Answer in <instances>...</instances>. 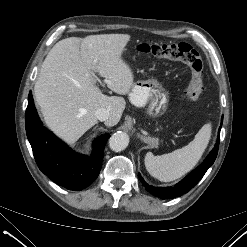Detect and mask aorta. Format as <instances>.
<instances>
[{"label":"aorta","mask_w":247,"mask_h":247,"mask_svg":"<svg viewBox=\"0 0 247 247\" xmlns=\"http://www.w3.org/2000/svg\"><path fill=\"white\" fill-rule=\"evenodd\" d=\"M129 144V136L124 132H116L109 139V147L112 151H123Z\"/></svg>","instance_id":"1"}]
</instances>
